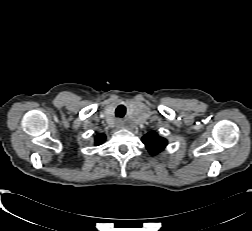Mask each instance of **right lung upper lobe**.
<instances>
[{"label": "right lung upper lobe", "instance_id": "1", "mask_svg": "<svg viewBox=\"0 0 252 231\" xmlns=\"http://www.w3.org/2000/svg\"><path fill=\"white\" fill-rule=\"evenodd\" d=\"M105 135L104 134H98L95 138L96 145H100L105 141Z\"/></svg>", "mask_w": 252, "mask_h": 231}]
</instances>
